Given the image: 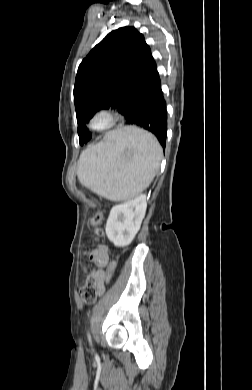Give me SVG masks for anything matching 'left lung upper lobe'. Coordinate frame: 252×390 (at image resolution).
Here are the masks:
<instances>
[{
    "instance_id": "left-lung-upper-lobe-1",
    "label": "left lung upper lobe",
    "mask_w": 252,
    "mask_h": 390,
    "mask_svg": "<svg viewBox=\"0 0 252 390\" xmlns=\"http://www.w3.org/2000/svg\"><path fill=\"white\" fill-rule=\"evenodd\" d=\"M156 69L144 36L134 27L109 33L81 62L75 79L74 103L78 135L100 109L120 113L132 94Z\"/></svg>"
}]
</instances>
